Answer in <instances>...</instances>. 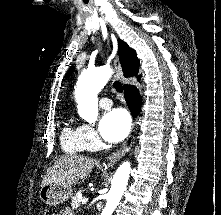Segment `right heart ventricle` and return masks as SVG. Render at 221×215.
<instances>
[{
    "label": "right heart ventricle",
    "instance_id": "right-heart-ventricle-1",
    "mask_svg": "<svg viewBox=\"0 0 221 215\" xmlns=\"http://www.w3.org/2000/svg\"><path fill=\"white\" fill-rule=\"evenodd\" d=\"M61 146L67 153H79L85 150L79 127L67 125L61 134Z\"/></svg>",
    "mask_w": 221,
    "mask_h": 215
}]
</instances>
